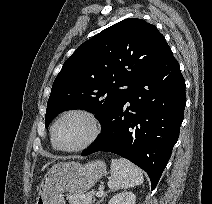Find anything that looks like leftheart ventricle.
Returning <instances> with one entry per match:
<instances>
[{"label":"left heart ventricle","mask_w":212,"mask_h":204,"mask_svg":"<svg viewBox=\"0 0 212 204\" xmlns=\"http://www.w3.org/2000/svg\"><path fill=\"white\" fill-rule=\"evenodd\" d=\"M89 134V125L82 117L68 116L60 121L55 130L58 144L65 148L80 145Z\"/></svg>","instance_id":"1"}]
</instances>
